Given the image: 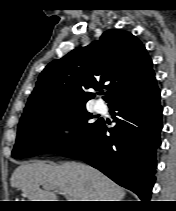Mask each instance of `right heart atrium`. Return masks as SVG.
<instances>
[{
    "mask_svg": "<svg viewBox=\"0 0 176 211\" xmlns=\"http://www.w3.org/2000/svg\"><path fill=\"white\" fill-rule=\"evenodd\" d=\"M56 129L62 139H73L77 131V120L75 116L72 114L61 116L57 121Z\"/></svg>",
    "mask_w": 176,
    "mask_h": 211,
    "instance_id": "obj_1",
    "label": "right heart atrium"
}]
</instances>
